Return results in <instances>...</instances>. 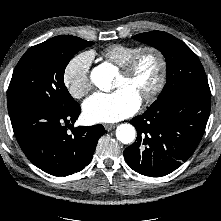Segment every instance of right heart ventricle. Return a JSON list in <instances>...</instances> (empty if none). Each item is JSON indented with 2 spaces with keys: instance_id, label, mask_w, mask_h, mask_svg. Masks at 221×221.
<instances>
[{
  "instance_id": "1",
  "label": "right heart ventricle",
  "mask_w": 221,
  "mask_h": 221,
  "mask_svg": "<svg viewBox=\"0 0 221 221\" xmlns=\"http://www.w3.org/2000/svg\"><path fill=\"white\" fill-rule=\"evenodd\" d=\"M140 48L135 45L112 44L103 50L102 57L121 67Z\"/></svg>"
}]
</instances>
